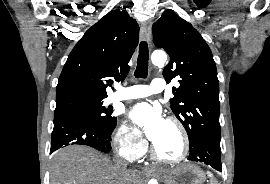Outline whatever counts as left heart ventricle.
<instances>
[{
    "mask_svg": "<svg viewBox=\"0 0 270 184\" xmlns=\"http://www.w3.org/2000/svg\"><path fill=\"white\" fill-rule=\"evenodd\" d=\"M154 145L163 157L174 158L178 156L182 149V142L176 127L167 122L161 137Z\"/></svg>",
    "mask_w": 270,
    "mask_h": 184,
    "instance_id": "obj_1",
    "label": "left heart ventricle"
}]
</instances>
